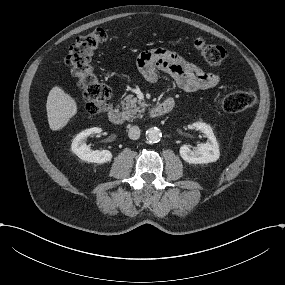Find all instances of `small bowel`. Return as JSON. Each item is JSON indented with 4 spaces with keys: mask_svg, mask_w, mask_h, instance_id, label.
Here are the masks:
<instances>
[{
    "mask_svg": "<svg viewBox=\"0 0 285 285\" xmlns=\"http://www.w3.org/2000/svg\"><path fill=\"white\" fill-rule=\"evenodd\" d=\"M138 68L149 82H156L158 72H165L186 92L213 88L221 79L218 73L206 72L177 52L165 48L143 52L138 58Z\"/></svg>",
    "mask_w": 285,
    "mask_h": 285,
    "instance_id": "c3829d8e",
    "label": "small bowel"
}]
</instances>
